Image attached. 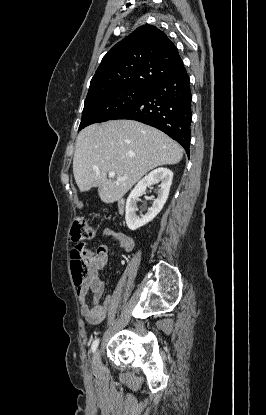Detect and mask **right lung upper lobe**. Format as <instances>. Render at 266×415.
I'll return each instance as SVG.
<instances>
[{
  "mask_svg": "<svg viewBox=\"0 0 266 415\" xmlns=\"http://www.w3.org/2000/svg\"><path fill=\"white\" fill-rule=\"evenodd\" d=\"M185 69L176 46L152 25H143L103 57L88 95L119 87L150 89Z\"/></svg>",
  "mask_w": 266,
  "mask_h": 415,
  "instance_id": "1",
  "label": "right lung upper lobe"
}]
</instances>
